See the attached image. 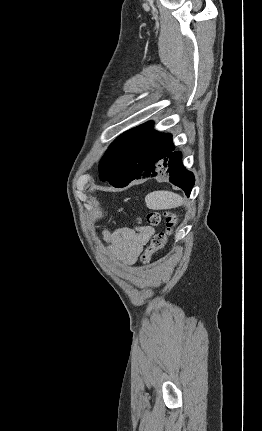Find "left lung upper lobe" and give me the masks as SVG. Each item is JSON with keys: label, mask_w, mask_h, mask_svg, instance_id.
Returning <instances> with one entry per match:
<instances>
[{"label": "left lung upper lobe", "mask_w": 262, "mask_h": 431, "mask_svg": "<svg viewBox=\"0 0 262 431\" xmlns=\"http://www.w3.org/2000/svg\"><path fill=\"white\" fill-rule=\"evenodd\" d=\"M152 126V122L142 124L124 132L112 142L99 164L102 181L119 187L129 180L130 165L136 153L148 141L160 135Z\"/></svg>", "instance_id": "left-lung-upper-lobe-1"}]
</instances>
